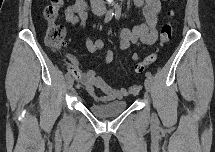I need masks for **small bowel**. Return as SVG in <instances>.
Instances as JSON below:
<instances>
[{
	"label": "small bowel",
	"instance_id": "small-bowel-1",
	"mask_svg": "<svg viewBox=\"0 0 215 152\" xmlns=\"http://www.w3.org/2000/svg\"><path fill=\"white\" fill-rule=\"evenodd\" d=\"M135 4L143 7L145 23L137 25L132 29H121L119 31L120 48L128 49L131 44L152 45L156 42L158 13L161 10L159 0H135ZM66 22L73 26L83 27L87 18V7L83 0H78L69 5L66 10ZM86 47L90 53H101L103 61L107 64L114 60V53L104 48V43L100 39H86ZM134 61H138L137 54L132 56ZM77 79L86 92L96 101L105 102L108 100L121 99L128 95H135L141 90L140 84H135L130 88H114L104 78L97 75L93 70L79 72ZM99 91L100 93H98Z\"/></svg>",
	"mask_w": 215,
	"mask_h": 152
}]
</instances>
